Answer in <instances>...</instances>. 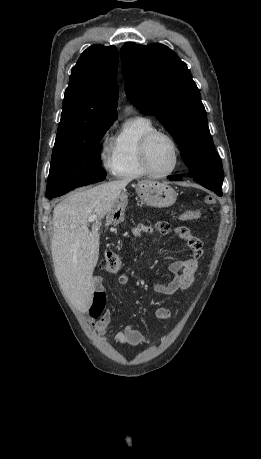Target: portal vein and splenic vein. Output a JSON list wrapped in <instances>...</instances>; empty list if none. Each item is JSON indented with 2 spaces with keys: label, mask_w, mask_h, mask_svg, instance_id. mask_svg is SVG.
I'll return each instance as SVG.
<instances>
[{
  "label": "portal vein and splenic vein",
  "mask_w": 261,
  "mask_h": 459,
  "mask_svg": "<svg viewBox=\"0 0 261 459\" xmlns=\"http://www.w3.org/2000/svg\"><path fill=\"white\" fill-rule=\"evenodd\" d=\"M97 219V216L92 214L88 217V222H94Z\"/></svg>",
  "instance_id": "18ae733b"
}]
</instances>
